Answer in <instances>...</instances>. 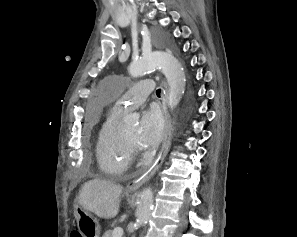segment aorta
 <instances>
[{"label":"aorta","instance_id":"aorta-1","mask_svg":"<svg viewBox=\"0 0 297 237\" xmlns=\"http://www.w3.org/2000/svg\"><path fill=\"white\" fill-rule=\"evenodd\" d=\"M160 69L165 75L169 85L168 105L175 108L185 91L186 78L183 67L178 59L169 52L156 51L143 56L130 63L128 71L132 77L143 76L146 72ZM138 118L134 115L125 117V126L134 125ZM153 192L151 188H145L140 195L136 210V221L139 225H145L151 216L153 209Z\"/></svg>","mask_w":297,"mask_h":237}]
</instances>
